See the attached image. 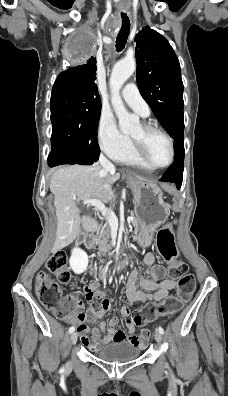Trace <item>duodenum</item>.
Masks as SVG:
<instances>
[{
	"label": "duodenum",
	"mask_w": 228,
	"mask_h": 396,
	"mask_svg": "<svg viewBox=\"0 0 228 396\" xmlns=\"http://www.w3.org/2000/svg\"><path fill=\"white\" fill-rule=\"evenodd\" d=\"M84 244L88 249H97V243L95 236L93 234H89L84 239ZM127 265V260H121L117 265V270H122Z\"/></svg>",
	"instance_id": "obj_1"
}]
</instances>
